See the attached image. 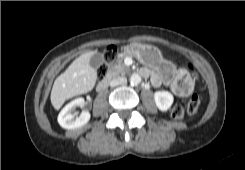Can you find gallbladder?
I'll return each instance as SVG.
<instances>
[{"mask_svg": "<svg viewBox=\"0 0 245 170\" xmlns=\"http://www.w3.org/2000/svg\"><path fill=\"white\" fill-rule=\"evenodd\" d=\"M90 66L94 69H98L104 63V57L101 53L95 52L90 58Z\"/></svg>", "mask_w": 245, "mask_h": 170, "instance_id": "gallbladder-1", "label": "gallbladder"}]
</instances>
